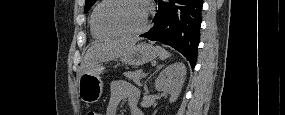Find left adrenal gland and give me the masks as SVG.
<instances>
[{"instance_id":"obj_1","label":"left adrenal gland","mask_w":285,"mask_h":115,"mask_svg":"<svg viewBox=\"0 0 285 115\" xmlns=\"http://www.w3.org/2000/svg\"><path fill=\"white\" fill-rule=\"evenodd\" d=\"M160 68H161V66H157V67H156V70H158V69H160ZM148 79H149V78H148ZM146 83H147V80L144 82V91H145L144 94H147V93H148V88H147Z\"/></svg>"}]
</instances>
